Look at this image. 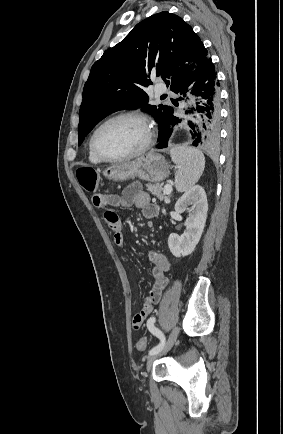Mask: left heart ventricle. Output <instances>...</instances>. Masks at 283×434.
I'll return each mask as SVG.
<instances>
[{
  "label": "left heart ventricle",
  "mask_w": 283,
  "mask_h": 434,
  "mask_svg": "<svg viewBox=\"0 0 283 434\" xmlns=\"http://www.w3.org/2000/svg\"><path fill=\"white\" fill-rule=\"evenodd\" d=\"M145 140L146 129L140 121L120 119L101 129L96 144L104 155L117 157L138 150Z\"/></svg>",
  "instance_id": "obj_1"
}]
</instances>
